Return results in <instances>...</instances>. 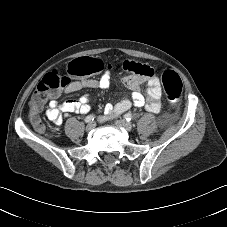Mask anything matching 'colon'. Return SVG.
Returning <instances> with one entry per match:
<instances>
[{"mask_svg":"<svg viewBox=\"0 0 227 227\" xmlns=\"http://www.w3.org/2000/svg\"><path fill=\"white\" fill-rule=\"evenodd\" d=\"M102 69L101 60L94 57H80L68 63L66 74L57 69L46 74L37 84L30 99L32 125L38 131L45 132L46 125L39 117V112L43 109L47 100L56 97L59 91L68 87L71 82L70 77L86 78L98 74ZM128 70L147 78H151L155 74L151 67L137 61H129ZM161 78L167 101L176 104L183 92L180 76L175 71L166 70L162 73Z\"/></svg>","mask_w":227,"mask_h":227,"instance_id":"1","label":"colon"}]
</instances>
